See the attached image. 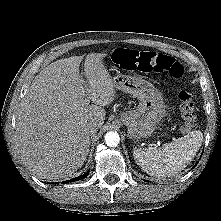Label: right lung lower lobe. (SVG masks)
<instances>
[{
    "label": "right lung lower lobe",
    "instance_id": "right-lung-lower-lobe-1",
    "mask_svg": "<svg viewBox=\"0 0 221 221\" xmlns=\"http://www.w3.org/2000/svg\"><path fill=\"white\" fill-rule=\"evenodd\" d=\"M87 175H88V173H86V174H84V175H80V176H78V177H75V178H73V179H71V180L64 181V182H62V183L64 184V183H69V182L78 181V180H80V179L85 178ZM57 183H58V182H56V183H54V184H57Z\"/></svg>",
    "mask_w": 221,
    "mask_h": 221
}]
</instances>
